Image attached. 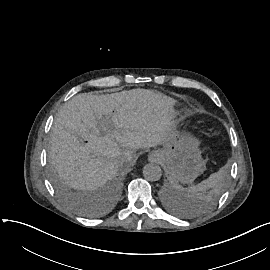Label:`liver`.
Masks as SVG:
<instances>
[{
  "instance_id": "obj_1",
  "label": "liver",
  "mask_w": 270,
  "mask_h": 270,
  "mask_svg": "<svg viewBox=\"0 0 270 270\" xmlns=\"http://www.w3.org/2000/svg\"><path fill=\"white\" fill-rule=\"evenodd\" d=\"M174 105L171 98L143 89L103 96L80 93L55 119L49 159L69 185L97 190L125 161H133L134 151L171 139L175 121L165 116Z\"/></svg>"
}]
</instances>
